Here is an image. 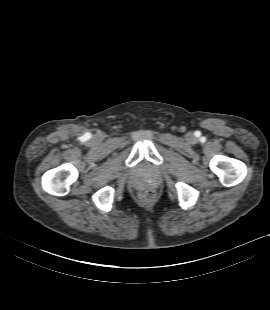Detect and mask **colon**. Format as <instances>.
Returning <instances> with one entry per match:
<instances>
[{"label":"colon","instance_id":"1","mask_svg":"<svg viewBox=\"0 0 270 310\" xmlns=\"http://www.w3.org/2000/svg\"><path fill=\"white\" fill-rule=\"evenodd\" d=\"M141 198L144 201H151L154 198V192L150 189H144L141 191Z\"/></svg>","mask_w":270,"mask_h":310}]
</instances>
